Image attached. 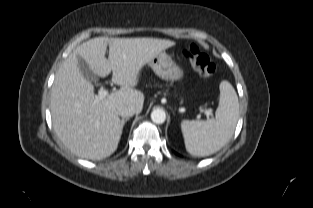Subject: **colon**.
<instances>
[{
  "label": "colon",
  "mask_w": 313,
  "mask_h": 208,
  "mask_svg": "<svg viewBox=\"0 0 313 208\" xmlns=\"http://www.w3.org/2000/svg\"><path fill=\"white\" fill-rule=\"evenodd\" d=\"M184 57L193 68L204 77H212L216 72V66L210 61L196 44L187 46L183 51Z\"/></svg>",
  "instance_id": "1"
}]
</instances>
